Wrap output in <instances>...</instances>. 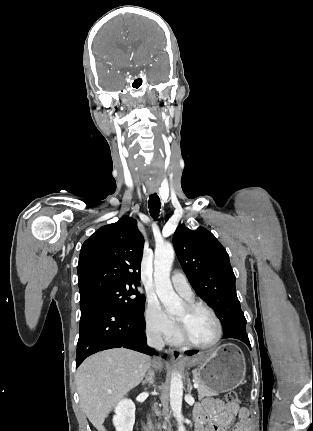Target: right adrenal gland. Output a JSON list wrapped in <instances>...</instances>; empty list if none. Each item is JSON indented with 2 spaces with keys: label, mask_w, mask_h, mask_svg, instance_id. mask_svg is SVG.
<instances>
[{
  "label": "right adrenal gland",
  "mask_w": 313,
  "mask_h": 431,
  "mask_svg": "<svg viewBox=\"0 0 313 431\" xmlns=\"http://www.w3.org/2000/svg\"><path fill=\"white\" fill-rule=\"evenodd\" d=\"M154 383L153 372H149L148 375L142 380V385L145 387L147 384L152 385ZM146 388V387H145Z\"/></svg>",
  "instance_id": "obj_1"
}]
</instances>
